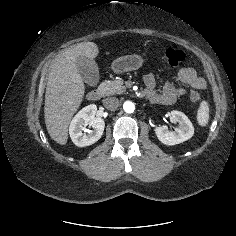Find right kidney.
<instances>
[{"label": "right kidney", "mask_w": 236, "mask_h": 236, "mask_svg": "<svg viewBox=\"0 0 236 236\" xmlns=\"http://www.w3.org/2000/svg\"><path fill=\"white\" fill-rule=\"evenodd\" d=\"M97 106L88 105L80 110L72 119L69 127V134L73 143L78 147H85L97 142L104 131L105 122L100 117H95ZM92 126L88 134L83 133L86 125Z\"/></svg>", "instance_id": "ca27d5eb"}]
</instances>
